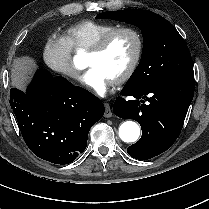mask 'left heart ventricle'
I'll list each match as a JSON object with an SVG mask.
<instances>
[{
    "instance_id": "b2bd125f",
    "label": "left heart ventricle",
    "mask_w": 209,
    "mask_h": 209,
    "mask_svg": "<svg viewBox=\"0 0 209 209\" xmlns=\"http://www.w3.org/2000/svg\"><path fill=\"white\" fill-rule=\"evenodd\" d=\"M136 51L135 38L130 33L117 34L100 55L86 56L89 67H97L109 78L117 80L126 70Z\"/></svg>"
}]
</instances>
